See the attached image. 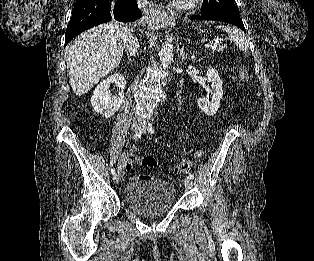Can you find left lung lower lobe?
Instances as JSON below:
<instances>
[{
    "instance_id": "1",
    "label": "left lung lower lobe",
    "mask_w": 314,
    "mask_h": 261,
    "mask_svg": "<svg viewBox=\"0 0 314 261\" xmlns=\"http://www.w3.org/2000/svg\"><path fill=\"white\" fill-rule=\"evenodd\" d=\"M191 20H214V21H220L225 22L229 24H233L239 28H241L244 32H246L244 28V24L240 18V15H207L204 13H201V15L192 16L190 18Z\"/></svg>"
}]
</instances>
